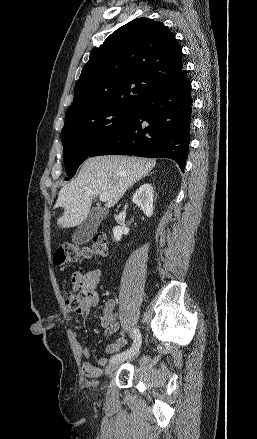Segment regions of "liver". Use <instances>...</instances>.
Returning <instances> with one entry per match:
<instances>
[{
    "mask_svg": "<svg viewBox=\"0 0 257 439\" xmlns=\"http://www.w3.org/2000/svg\"><path fill=\"white\" fill-rule=\"evenodd\" d=\"M155 165V159L140 157L109 155L88 158L77 177L63 186L58 194L55 208L64 209L57 221L58 226L65 229L82 224L90 213L93 198L100 194H109L105 207H113L125 191Z\"/></svg>",
    "mask_w": 257,
    "mask_h": 439,
    "instance_id": "1",
    "label": "liver"
}]
</instances>
